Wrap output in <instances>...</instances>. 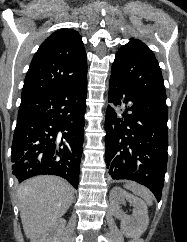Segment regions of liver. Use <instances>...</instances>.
Masks as SVG:
<instances>
[{
	"label": "liver",
	"mask_w": 187,
	"mask_h": 242,
	"mask_svg": "<svg viewBox=\"0 0 187 242\" xmlns=\"http://www.w3.org/2000/svg\"><path fill=\"white\" fill-rule=\"evenodd\" d=\"M17 194L23 230L31 242L67 212L74 198L72 186L56 176L28 179Z\"/></svg>",
	"instance_id": "1"
}]
</instances>
